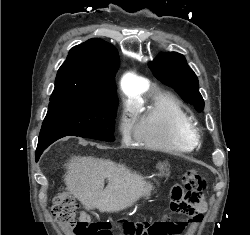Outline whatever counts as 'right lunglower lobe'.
Returning a JSON list of instances; mask_svg holds the SVG:
<instances>
[{
	"label": "right lung lower lobe",
	"instance_id": "1",
	"mask_svg": "<svg viewBox=\"0 0 250 235\" xmlns=\"http://www.w3.org/2000/svg\"><path fill=\"white\" fill-rule=\"evenodd\" d=\"M65 137L64 135H51V136H47L45 138L39 139L38 141V146H37V150H36V161H38L40 155L42 154V152L49 146L51 145L53 142H55L56 140Z\"/></svg>",
	"mask_w": 250,
	"mask_h": 235
}]
</instances>
